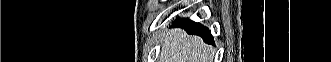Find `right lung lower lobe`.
Returning a JSON list of instances; mask_svg holds the SVG:
<instances>
[{
    "mask_svg": "<svg viewBox=\"0 0 331 62\" xmlns=\"http://www.w3.org/2000/svg\"><path fill=\"white\" fill-rule=\"evenodd\" d=\"M176 26L183 27L189 34L199 35L204 42L214 44L213 37L207 27L199 23L190 21L189 19H181L175 21Z\"/></svg>",
    "mask_w": 331,
    "mask_h": 62,
    "instance_id": "1",
    "label": "right lung lower lobe"
}]
</instances>
